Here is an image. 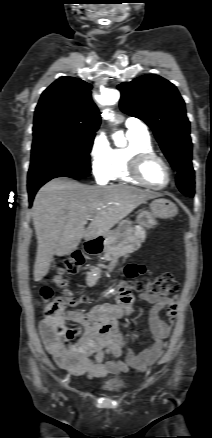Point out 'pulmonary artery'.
Returning a JSON list of instances; mask_svg holds the SVG:
<instances>
[{"label": "pulmonary artery", "mask_w": 212, "mask_h": 438, "mask_svg": "<svg viewBox=\"0 0 212 438\" xmlns=\"http://www.w3.org/2000/svg\"><path fill=\"white\" fill-rule=\"evenodd\" d=\"M126 127L129 130L138 131V132H147L146 125L137 118H128L125 123Z\"/></svg>", "instance_id": "pulmonary-artery-1"}]
</instances>
